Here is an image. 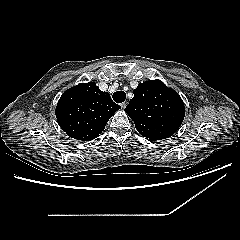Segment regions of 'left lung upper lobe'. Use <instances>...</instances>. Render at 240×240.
<instances>
[{
	"label": "left lung upper lobe",
	"mask_w": 240,
	"mask_h": 240,
	"mask_svg": "<svg viewBox=\"0 0 240 240\" xmlns=\"http://www.w3.org/2000/svg\"><path fill=\"white\" fill-rule=\"evenodd\" d=\"M125 112L134 121L138 132L151 141L166 139L180 127L185 107L176 91L160 80L140 83L133 91Z\"/></svg>",
	"instance_id": "obj_1"
}]
</instances>
